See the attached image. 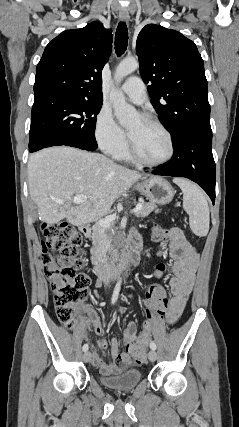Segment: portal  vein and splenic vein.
<instances>
[{
  "label": "portal vein and splenic vein",
  "instance_id": "obj_1",
  "mask_svg": "<svg viewBox=\"0 0 239 427\" xmlns=\"http://www.w3.org/2000/svg\"><path fill=\"white\" fill-rule=\"evenodd\" d=\"M86 199H87L86 196L77 195V196H74V198L72 199V202L76 203V204H80V203L84 202ZM57 202L62 203V201H57ZM142 207H143V204L142 203H138L136 205V207L132 210V212L133 213H137V212H139L142 209ZM116 218H117L116 215L107 216V217H105L103 219H100L98 221V225L101 226V227H103V228H110L111 223L114 220H116Z\"/></svg>",
  "mask_w": 239,
  "mask_h": 427
}]
</instances>
